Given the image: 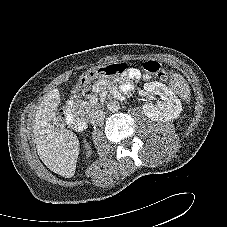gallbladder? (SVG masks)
<instances>
[{
  "label": "gallbladder",
  "instance_id": "bac80fb5",
  "mask_svg": "<svg viewBox=\"0 0 227 227\" xmlns=\"http://www.w3.org/2000/svg\"><path fill=\"white\" fill-rule=\"evenodd\" d=\"M53 124H54L55 126H57V127H61V126L64 125V122H63V120H62L61 117H57V118L54 120Z\"/></svg>",
  "mask_w": 227,
  "mask_h": 227
}]
</instances>
